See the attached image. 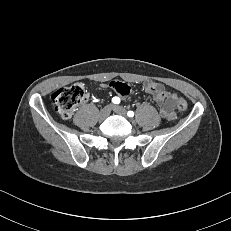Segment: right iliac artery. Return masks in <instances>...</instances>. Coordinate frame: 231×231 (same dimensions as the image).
I'll return each mask as SVG.
<instances>
[{
    "mask_svg": "<svg viewBox=\"0 0 231 231\" xmlns=\"http://www.w3.org/2000/svg\"><path fill=\"white\" fill-rule=\"evenodd\" d=\"M112 102H113L114 104H119V103H120V99H119L118 97H113V98H112Z\"/></svg>",
    "mask_w": 231,
    "mask_h": 231,
    "instance_id": "82829eb1",
    "label": "right iliac artery"
}]
</instances>
